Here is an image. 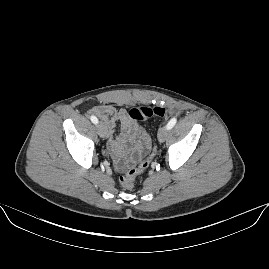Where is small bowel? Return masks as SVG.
<instances>
[{
    "instance_id": "obj_1",
    "label": "small bowel",
    "mask_w": 269,
    "mask_h": 269,
    "mask_svg": "<svg viewBox=\"0 0 269 269\" xmlns=\"http://www.w3.org/2000/svg\"><path fill=\"white\" fill-rule=\"evenodd\" d=\"M91 111L105 121L110 134L107 147L118 171L124 172L128 167L141 162L142 151L152 150L149 133L142 125L133 121L125 109L103 104L94 106ZM116 122L120 124L117 135Z\"/></svg>"
}]
</instances>
